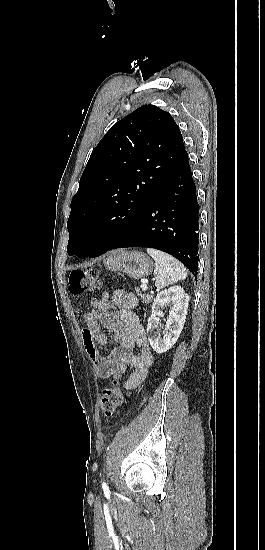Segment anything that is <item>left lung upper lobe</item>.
<instances>
[{"instance_id": "left-lung-upper-lobe-1", "label": "left lung upper lobe", "mask_w": 265, "mask_h": 550, "mask_svg": "<svg viewBox=\"0 0 265 550\" xmlns=\"http://www.w3.org/2000/svg\"><path fill=\"white\" fill-rule=\"evenodd\" d=\"M187 154L173 117L144 105L93 149L71 202L68 254L94 257L140 217Z\"/></svg>"}]
</instances>
